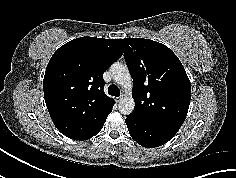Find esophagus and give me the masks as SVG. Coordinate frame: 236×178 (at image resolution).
I'll list each match as a JSON object with an SVG mask.
<instances>
[{"label": "esophagus", "instance_id": "esophagus-1", "mask_svg": "<svg viewBox=\"0 0 236 178\" xmlns=\"http://www.w3.org/2000/svg\"><path fill=\"white\" fill-rule=\"evenodd\" d=\"M122 99H123V96L117 97V98H116V102L118 103V102H120Z\"/></svg>", "mask_w": 236, "mask_h": 178}]
</instances>
